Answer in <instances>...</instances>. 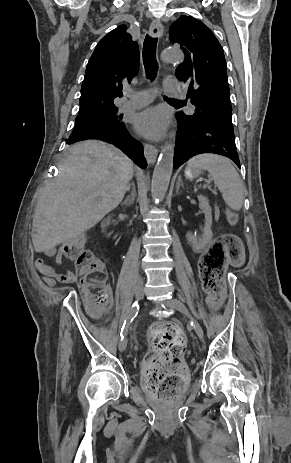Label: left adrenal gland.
<instances>
[{
	"instance_id": "obj_1",
	"label": "left adrenal gland",
	"mask_w": 291,
	"mask_h": 463,
	"mask_svg": "<svg viewBox=\"0 0 291 463\" xmlns=\"http://www.w3.org/2000/svg\"><path fill=\"white\" fill-rule=\"evenodd\" d=\"M180 186H182L181 177H179V179L177 181V184H176V193H178V191L180 189Z\"/></svg>"
}]
</instances>
